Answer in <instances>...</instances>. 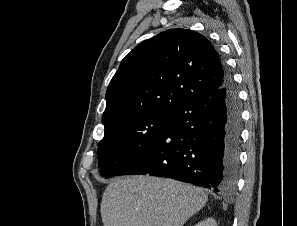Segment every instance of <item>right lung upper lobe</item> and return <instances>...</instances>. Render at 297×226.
I'll return each instance as SVG.
<instances>
[{"mask_svg":"<svg viewBox=\"0 0 297 226\" xmlns=\"http://www.w3.org/2000/svg\"><path fill=\"white\" fill-rule=\"evenodd\" d=\"M225 69L203 35L172 29L136 46L121 62L106 92L105 127L151 111H174L192 97L220 88Z\"/></svg>","mask_w":297,"mask_h":226,"instance_id":"obj_1","label":"right lung upper lobe"}]
</instances>
